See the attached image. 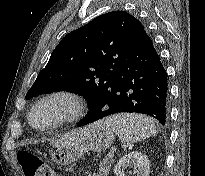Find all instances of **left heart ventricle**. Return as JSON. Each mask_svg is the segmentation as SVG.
I'll return each instance as SVG.
<instances>
[{"label": "left heart ventricle", "mask_w": 205, "mask_h": 176, "mask_svg": "<svg viewBox=\"0 0 205 176\" xmlns=\"http://www.w3.org/2000/svg\"><path fill=\"white\" fill-rule=\"evenodd\" d=\"M64 105L59 102H52L40 107L33 116V121L37 125L46 126L54 122L61 112Z\"/></svg>", "instance_id": "1"}]
</instances>
